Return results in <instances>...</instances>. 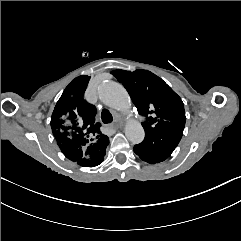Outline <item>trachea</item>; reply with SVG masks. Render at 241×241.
<instances>
[{"mask_svg":"<svg viewBox=\"0 0 241 241\" xmlns=\"http://www.w3.org/2000/svg\"><path fill=\"white\" fill-rule=\"evenodd\" d=\"M101 119L103 123L108 124L112 122L113 117L107 109H103L101 112Z\"/></svg>","mask_w":241,"mask_h":241,"instance_id":"obj_1","label":"trachea"}]
</instances>
